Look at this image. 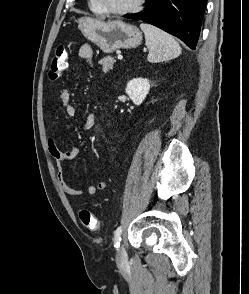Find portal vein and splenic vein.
<instances>
[{
    "mask_svg": "<svg viewBox=\"0 0 249 294\" xmlns=\"http://www.w3.org/2000/svg\"><path fill=\"white\" fill-rule=\"evenodd\" d=\"M117 58H118L119 60H121V59L123 58V56L119 54Z\"/></svg>",
    "mask_w": 249,
    "mask_h": 294,
    "instance_id": "1",
    "label": "portal vein and splenic vein"
}]
</instances>
